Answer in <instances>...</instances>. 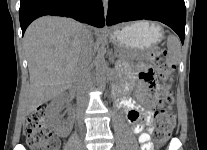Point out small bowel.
Returning <instances> with one entry per match:
<instances>
[{
    "instance_id": "obj_1",
    "label": "small bowel",
    "mask_w": 207,
    "mask_h": 150,
    "mask_svg": "<svg viewBox=\"0 0 207 150\" xmlns=\"http://www.w3.org/2000/svg\"><path fill=\"white\" fill-rule=\"evenodd\" d=\"M122 71L124 81L115 88L117 105L125 110L133 133L138 135L142 150H153L150 130L153 120L154 71L145 64H139L135 68L125 64L122 65ZM133 90L141 104L129 96Z\"/></svg>"
}]
</instances>
